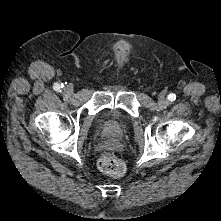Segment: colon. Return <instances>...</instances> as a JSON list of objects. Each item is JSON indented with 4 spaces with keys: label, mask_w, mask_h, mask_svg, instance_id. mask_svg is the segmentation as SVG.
I'll use <instances>...</instances> for the list:
<instances>
[{
    "label": "colon",
    "mask_w": 221,
    "mask_h": 221,
    "mask_svg": "<svg viewBox=\"0 0 221 221\" xmlns=\"http://www.w3.org/2000/svg\"><path fill=\"white\" fill-rule=\"evenodd\" d=\"M98 168L103 173L121 176L125 171V164L114 154L105 153L98 160Z\"/></svg>",
    "instance_id": "obj_1"
}]
</instances>
